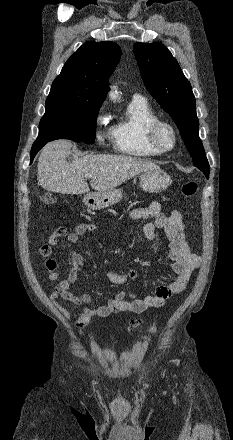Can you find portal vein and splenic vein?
<instances>
[{
    "label": "portal vein and splenic vein",
    "mask_w": 233,
    "mask_h": 440,
    "mask_svg": "<svg viewBox=\"0 0 233 440\" xmlns=\"http://www.w3.org/2000/svg\"><path fill=\"white\" fill-rule=\"evenodd\" d=\"M85 176L86 177H92V174H86Z\"/></svg>",
    "instance_id": "18ae733b"
}]
</instances>
